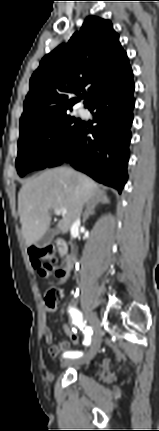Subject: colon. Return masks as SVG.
<instances>
[{"label": "colon", "instance_id": "obj_1", "mask_svg": "<svg viewBox=\"0 0 159 431\" xmlns=\"http://www.w3.org/2000/svg\"><path fill=\"white\" fill-rule=\"evenodd\" d=\"M31 258L33 266L43 277L50 274L53 269V265L56 262L55 253L50 247L34 249L31 252ZM61 297V290L55 285L50 286L45 295V303L49 314L55 312V308ZM63 332L65 333V338H69V342H71L72 346L77 347L80 344L79 333H76L75 329H72L70 325H65L63 327Z\"/></svg>", "mask_w": 159, "mask_h": 431}]
</instances>
